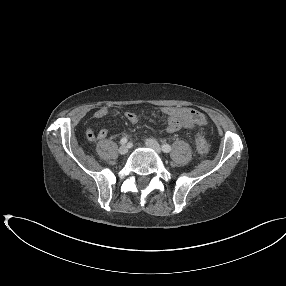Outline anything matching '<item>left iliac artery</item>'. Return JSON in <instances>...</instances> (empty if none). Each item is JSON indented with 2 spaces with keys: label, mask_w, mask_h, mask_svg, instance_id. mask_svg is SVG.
Here are the masks:
<instances>
[{
  "label": "left iliac artery",
  "mask_w": 286,
  "mask_h": 286,
  "mask_svg": "<svg viewBox=\"0 0 286 286\" xmlns=\"http://www.w3.org/2000/svg\"><path fill=\"white\" fill-rule=\"evenodd\" d=\"M162 150H163V152L168 153L171 151V146L168 144H164V145H162Z\"/></svg>",
  "instance_id": "1"
}]
</instances>
